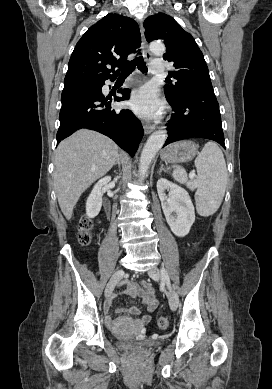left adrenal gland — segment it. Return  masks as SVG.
Masks as SVG:
<instances>
[{"label":"left adrenal gland","instance_id":"left-adrenal-gland-1","mask_svg":"<svg viewBox=\"0 0 272 389\" xmlns=\"http://www.w3.org/2000/svg\"><path fill=\"white\" fill-rule=\"evenodd\" d=\"M162 171H164V172L167 171V170L163 167V164H161V167H160V170H159V175L161 174Z\"/></svg>","mask_w":272,"mask_h":389}]
</instances>
